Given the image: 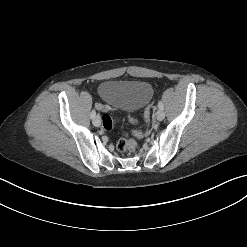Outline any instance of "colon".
<instances>
[{
  "label": "colon",
  "mask_w": 247,
  "mask_h": 247,
  "mask_svg": "<svg viewBox=\"0 0 247 247\" xmlns=\"http://www.w3.org/2000/svg\"><path fill=\"white\" fill-rule=\"evenodd\" d=\"M152 111V105H149L144 113L145 124L141 129L136 132H128L123 135L118 143L117 149L121 152H133L136 150L138 145V139L146 136L149 133L148 129V121L150 119V114ZM103 127L106 130H111L116 124H118L121 120L120 117H112L109 114L103 115Z\"/></svg>",
  "instance_id": "colon-1"
}]
</instances>
